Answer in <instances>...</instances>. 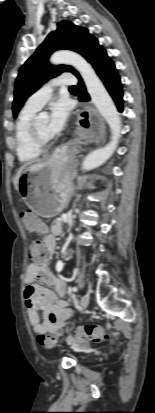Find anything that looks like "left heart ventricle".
I'll list each match as a JSON object with an SVG mask.
<instances>
[{
	"mask_svg": "<svg viewBox=\"0 0 155 413\" xmlns=\"http://www.w3.org/2000/svg\"><path fill=\"white\" fill-rule=\"evenodd\" d=\"M47 121L46 120H38L36 121V128L38 133L40 134L41 137L44 139H49L50 137L48 136L47 133Z\"/></svg>",
	"mask_w": 155,
	"mask_h": 413,
	"instance_id": "b2bd125f",
	"label": "left heart ventricle"
}]
</instances>
